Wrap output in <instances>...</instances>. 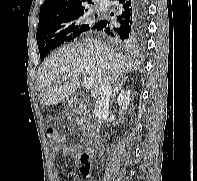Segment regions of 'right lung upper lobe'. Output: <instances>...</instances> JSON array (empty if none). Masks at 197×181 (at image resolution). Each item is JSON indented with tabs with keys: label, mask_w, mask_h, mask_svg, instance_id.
<instances>
[{
	"label": "right lung upper lobe",
	"mask_w": 197,
	"mask_h": 181,
	"mask_svg": "<svg viewBox=\"0 0 197 181\" xmlns=\"http://www.w3.org/2000/svg\"><path fill=\"white\" fill-rule=\"evenodd\" d=\"M91 0H45L40 9L39 21L87 7Z\"/></svg>",
	"instance_id": "obj_1"
}]
</instances>
